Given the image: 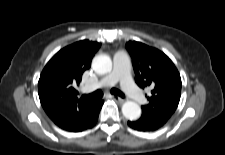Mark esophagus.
<instances>
[{
    "instance_id": "obj_1",
    "label": "esophagus",
    "mask_w": 225,
    "mask_h": 155,
    "mask_svg": "<svg viewBox=\"0 0 225 155\" xmlns=\"http://www.w3.org/2000/svg\"><path fill=\"white\" fill-rule=\"evenodd\" d=\"M112 97H113L114 100H116L119 103H123L125 101L123 98H121L119 96H116V95L115 96H112Z\"/></svg>"
}]
</instances>
